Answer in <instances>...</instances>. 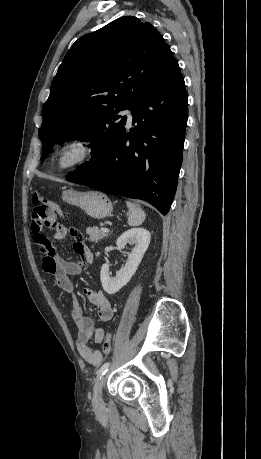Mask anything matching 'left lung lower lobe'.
<instances>
[{"instance_id": "left-lung-lower-lobe-1", "label": "left lung lower lobe", "mask_w": 261, "mask_h": 459, "mask_svg": "<svg viewBox=\"0 0 261 459\" xmlns=\"http://www.w3.org/2000/svg\"><path fill=\"white\" fill-rule=\"evenodd\" d=\"M188 96L177 61L132 108L136 126L126 129L107 156L67 181L149 202L166 215L182 164ZM130 144H127V142Z\"/></svg>"}]
</instances>
